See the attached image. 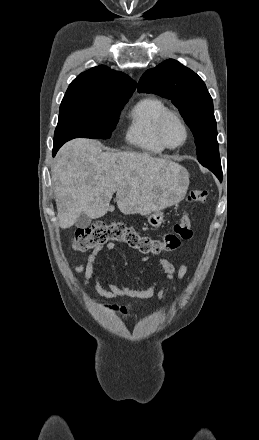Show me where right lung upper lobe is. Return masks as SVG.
I'll list each match as a JSON object with an SVG mask.
<instances>
[{
	"label": "right lung upper lobe",
	"mask_w": 259,
	"mask_h": 440,
	"mask_svg": "<svg viewBox=\"0 0 259 440\" xmlns=\"http://www.w3.org/2000/svg\"><path fill=\"white\" fill-rule=\"evenodd\" d=\"M136 86L137 83L124 73L98 66L81 73L73 80L63 100L110 104L130 98Z\"/></svg>",
	"instance_id": "obj_1"
}]
</instances>
